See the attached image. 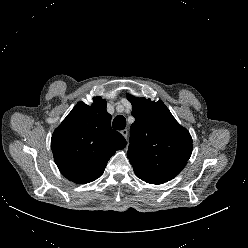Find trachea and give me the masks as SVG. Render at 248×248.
Listing matches in <instances>:
<instances>
[{
  "label": "trachea",
  "instance_id": "obj_1",
  "mask_svg": "<svg viewBox=\"0 0 248 248\" xmlns=\"http://www.w3.org/2000/svg\"><path fill=\"white\" fill-rule=\"evenodd\" d=\"M126 126V119L122 115H118L112 122V127L115 130H123Z\"/></svg>",
  "mask_w": 248,
  "mask_h": 248
}]
</instances>
